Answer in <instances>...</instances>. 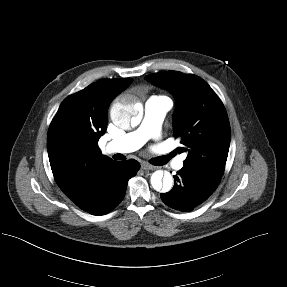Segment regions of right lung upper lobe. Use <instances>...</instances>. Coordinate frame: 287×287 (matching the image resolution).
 <instances>
[{
  "instance_id": "obj_1",
  "label": "right lung upper lobe",
  "mask_w": 287,
  "mask_h": 287,
  "mask_svg": "<svg viewBox=\"0 0 287 287\" xmlns=\"http://www.w3.org/2000/svg\"><path fill=\"white\" fill-rule=\"evenodd\" d=\"M131 78L103 79L68 96L61 103L47 135V151L56 183L74 198L104 158L98 140L108 123L107 110Z\"/></svg>"
}]
</instances>
